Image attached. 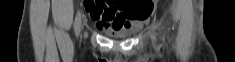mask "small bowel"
<instances>
[{
  "label": "small bowel",
  "instance_id": "obj_1",
  "mask_svg": "<svg viewBox=\"0 0 235 62\" xmlns=\"http://www.w3.org/2000/svg\"><path fill=\"white\" fill-rule=\"evenodd\" d=\"M87 12L98 29L128 28L131 20H140L128 14L127 1H98L87 6Z\"/></svg>",
  "mask_w": 235,
  "mask_h": 62
}]
</instances>
